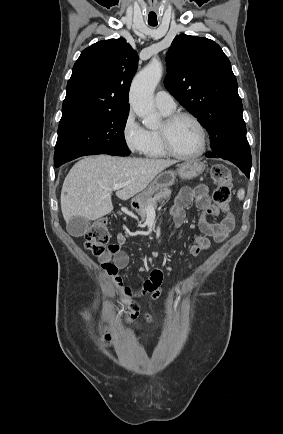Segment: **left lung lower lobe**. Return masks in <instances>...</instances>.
<instances>
[{
	"instance_id": "obj_1",
	"label": "left lung lower lobe",
	"mask_w": 283,
	"mask_h": 434,
	"mask_svg": "<svg viewBox=\"0 0 283 434\" xmlns=\"http://www.w3.org/2000/svg\"><path fill=\"white\" fill-rule=\"evenodd\" d=\"M208 157V155H207ZM241 171L249 178L251 170V162L238 163L237 165Z\"/></svg>"
}]
</instances>
